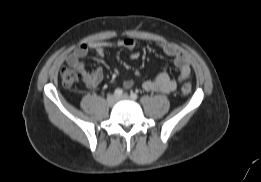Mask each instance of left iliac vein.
Instances as JSON below:
<instances>
[{
  "mask_svg": "<svg viewBox=\"0 0 261 182\" xmlns=\"http://www.w3.org/2000/svg\"><path fill=\"white\" fill-rule=\"evenodd\" d=\"M130 97L127 94H124L123 96L119 97L118 100H129Z\"/></svg>",
  "mask_w": 261,
  "mask_h": 182,
  "instance_id": "left-iliac-vein-1",
  "label": "left iliac vein"
}]
</instances>
